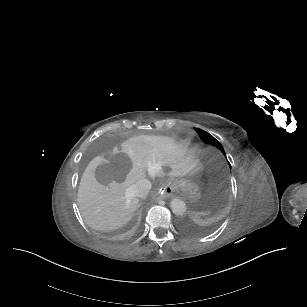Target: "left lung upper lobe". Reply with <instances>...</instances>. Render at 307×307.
<instances>
[{"instance_id": "1", "label": "left lung upper lobe", "mask_w": 307, "mask_h": 307, "mask_svg": "<svg viewBox=\"0 0 307 307\" xmlns=\"http://www.w3.org/2000/svg\"><path fill=\"white\" fill-rule=\"evenodd\" d=\"M196 131L199 133L200 138L202 139L203 142L216 146L225 155V151H224L221 143L218 140H216L212 135H210L206 131L199 129V128H196Z\"/></svg>"}]
</instances>
